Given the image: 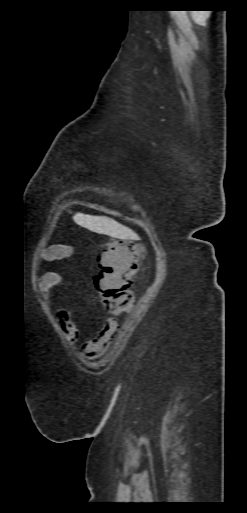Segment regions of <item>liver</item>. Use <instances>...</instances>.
<instances>
[{"instance_id":"liver-1","label":"liver","mask_w":247,"mask_h":513,"mask_svg":"<svg viewBox=\"0 0 247 513\" xmlns=\"http://www.w3.org/2000/svg\"><path fill=\"white\" fill-rule=\"evenodd\" d=\"M73 220L76 224L98 234L109 235L118 239H133L136 234L128 227L106 216H92L75 213Z\"/></svg>"}]
</instances>
